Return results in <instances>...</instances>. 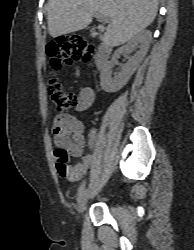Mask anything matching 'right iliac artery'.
<instances>
[{"mask_svg":"<svg viewBox=\"0 0 194 250\" xmlns=\"http://www.w3.org/2000/svg\"><path fill=\"white\" fill-rule=\"evenodd\" d=\"M85 185H86V180H84V181L81 183V185H80V187H79V189H78V193H77L78 198L80 197V195H81L82 192L84 191Z\"/></svg>","mask_w":194,"mask_h":250,"instance_id":"82829eb1","label":"right iliac artery"}]
</instances>
